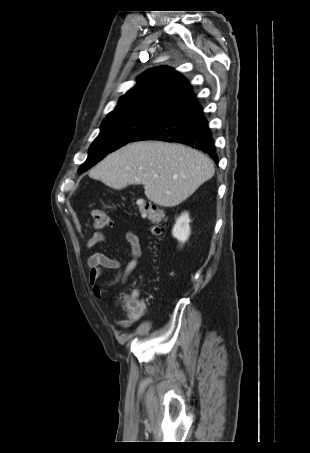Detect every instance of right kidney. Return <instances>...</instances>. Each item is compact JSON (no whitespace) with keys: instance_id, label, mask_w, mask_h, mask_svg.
Listing matches in <instances>:
<instances>
[{"instance_id":"ca27d5eb","label":"right kidney","mask_w":310,"mask_h":453,"mask_svg":"<svg viewBox=\"0 0 310 453\" xmlns=\"http://www.w3.org/2000/svg\"><path fill=\"white\" fill-rule=\"evenodd\" d=\"M189 223L190 218L188 212L182 213L176 220V223L172 229V235L180 243L186 242L190 236L191 231Z\"/></svg>"}]
</instances>
